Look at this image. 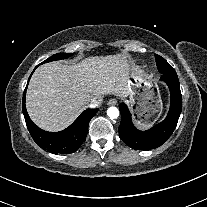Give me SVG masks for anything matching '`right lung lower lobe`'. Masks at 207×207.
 Instances as JSON below:
<instances>
[{
	"label": "right lung lower lobe",
	"mask_w": 207,
	"mask_h": 207,
	"mask_svg": "<svg viewBox=\"0 0 207 207\" xmlns=\"http://www.w3.org/2000/svg\"><path fill=\"white\" fill-rule=\"evenodd\" d=\"M26 89L23 94L22 108L27 128L33 140L42 149L56 154H68L77 151L86 138L89 121L98 109L85 110L72 125L63 131L57 133L47 132L37 127L28 116L25 107Z\"/></svg>",
	"instance_id": "right-lung-lower-lobe-1"
}]
</instances>
